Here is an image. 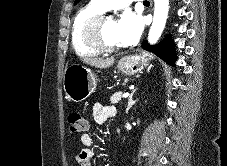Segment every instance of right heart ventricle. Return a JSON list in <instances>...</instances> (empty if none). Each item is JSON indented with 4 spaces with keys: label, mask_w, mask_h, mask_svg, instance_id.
<instances>
[{
    "label": "right heart ventricle",
    "mask_w": 227,
    "mask_h": 166,
    "mask_svg": "<svg viewBox=\"0 0 227 166\" xmlns=\"http://www.w3.org/2000/svg\"><path fill=\"white\" fill-rule=\"evenodd\" d=\"M93 0L81 7L75 14L71 25V46L79 56L90 57L98 54V51L90 47L83 39V26L89 18L105 12Z\"/></svg>",
    "instance_id": "right-heart-ventricle-1"
}]
</instances>
